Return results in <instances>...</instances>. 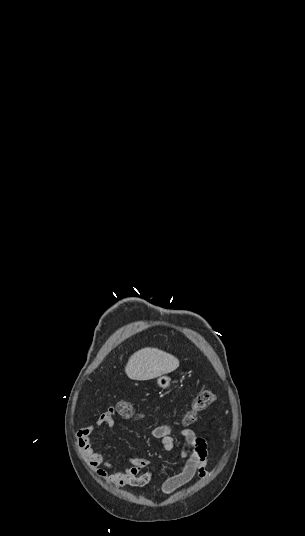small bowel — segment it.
Wrapping results in <instances>:
<instances>
[{
	"mask_svg": "<svg viewBox=\"0 0 305 536\" xmlns=\"http://www.w3.org/2000/svg\"><path fill=\"white\" fill-rule=\"evenodd\" d=\"M100 418L102 422H105V426L110 427L114 422L115 410L108 408L102 411ZM92 430V425L87 424L84 430L78 432L77 437L82 455L94 476L120 487L141 488L148 484L152 477V470L146 469L149 465L147 459L128 458V467L117 468L102 453L95 450L92 443L95 434ZM150 434L152 438L159 440L165 450H173L177 447L173 431L168 425L157 426L151 430ZM178 434L184 440L180 451L185 458V463L176 474L162 484L161 490L166 495L173 493L196 475L200 478L207 476L206 438L189 428L180 429Z\"/></svg>",
	"mask_w": 305,
	"mask_h": 536,
	"instance_id": "obj_1",
	"label": "small bowel"
}]
</instances>
